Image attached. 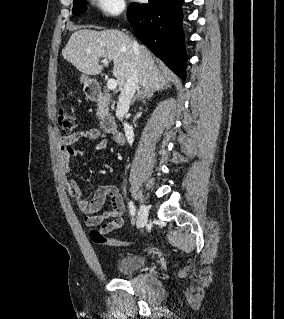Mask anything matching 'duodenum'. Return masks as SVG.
I'll use <instances>...</instances> for the list:
<instances>
[{"mask_svg":"<svg viewBox=\"0 0 284 319\" xmlns=\"http://www.w3.org/2000/svg\"><path fill=\"white\" fill-rule=\"evenodd\" d=\"M87 94L92 101L97 102L104 107L108 105L110 101V96L106 93H103L100 89H98L95 86H90L87 89ZM99 123L101 129L104 132L112 134L118 143L123 142L122 134L118 131L115 120L110 114L104 113L101 116Z\"/></svg>","mask_w":284,"mask_h":319,"instance_id":"obj_1","label":"duodenum"}]
</instances>
